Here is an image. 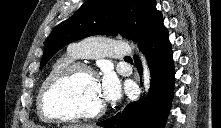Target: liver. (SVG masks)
<instances>
[{
	"label": "liver",
	"instance_id": "liver-1",
	"mask_svg": "<svg viewBox=\"0 0 221 128\" xmlns=\"http://www.w3.org/2000/svg\"><path fill=\"white\" fill-rule=\"evenodd\" d=\"M64 128H96V126L94 125H79V124H75V125H69L67 127Z\"/></svg>",
	"mask_w": 221,
	"mask_h": 128
}]
</instances>
